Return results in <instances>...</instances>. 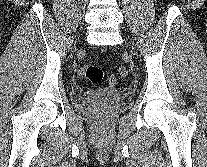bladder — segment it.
Instances as JSON below:
<instances>
[{"label": "bladder", "mask_w": 207, "mask_h": 167, "mask_svg": "<svg viewBox=\"0 0 207 167\" xmlns=\"http://www.w3.org/2000/svg\"><path fill=\"white\" fill-rule=\"evenodd\" d=\"M123 99V94L118 90L95 89L86 91L81 95L84 103L117 102Z\"/></svg>", "instance_id": "31cf9c89"}]
</instances>
